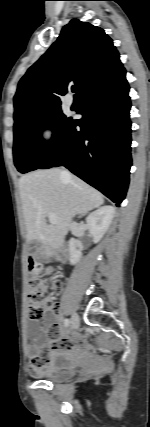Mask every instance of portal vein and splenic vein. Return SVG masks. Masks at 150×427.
<instances>
[{
  "label": "portal vein and splenic vein",
  "instance_id": "obj_1",
  "mask_svg": "<svg viewBox=\"0 0 150 427\" xmlns=\"http://www.w3.org/2000/svg\"><path fill=\"white\" fill-rule=\"evenodd\" d=\"M48 218L52 225L57 223L56 215L53 212L48 213Z\"/></svg>",
  "mask_w": 150,
  "mask_h": 427
}]
</instances>
